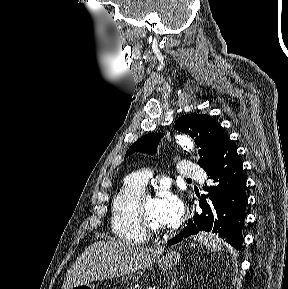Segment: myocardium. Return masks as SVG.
Segmentation results:
<instances>
[{
  "label": "myocardium",
  "mask_w": 288,
  "mask_h": 289,
  "mask_svg": "<svg viewBox=\"0 0 288 289\" xmlns=\"http://www.w3.org/2000/svg\"><path fill=\"white\" fill-rule=\"evenodd\" d=\"M149 198L154 199V197L149 193L143 192L136 200L133 211L135 225L146 235H161L164 233V230L159 229L154 224H152L144 213V203Z\"/></svg>",
  "instance_id": "myocardium-1"
}]
</instances>
